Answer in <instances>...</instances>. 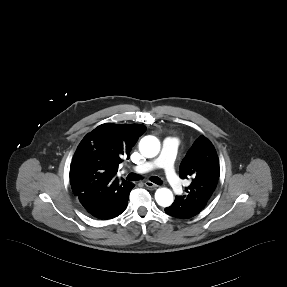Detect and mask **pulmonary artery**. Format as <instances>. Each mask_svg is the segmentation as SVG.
Listing matches in <instances>:
<instances>
[{
	"label": "pulmonary artery",
	"mask_w": 287,
	"mask_h": 287,
	"mask_svg": "<svg viewBox=\"0 0 287 287\" xmlns=\"http://www.w3.org/2000/svg\"><path fill=\"white\" fill-rule=\"evenodd\" d=\"M178 147V140L175 137L167 138L163 143V149L159 157L147 161L143 164L133 167V170L137 173H146L156 168H162L164 170V176L166 181L172 187L174 194L181 195L183 188L175 174L174 170V158Z\"/></svg>",
	"instance_id": "1"
}]
</instances>
